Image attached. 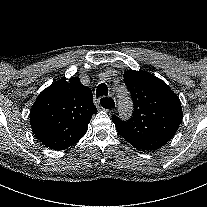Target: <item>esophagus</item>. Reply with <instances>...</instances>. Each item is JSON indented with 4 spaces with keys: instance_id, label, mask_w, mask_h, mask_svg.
I'll list each match as a JSON object with an SVG mask.
<instances>
[{
    "instance_id": "obj_1",
    "label": "esophagus",
    "mask_w": 207,
    "mask_h": 207,
    "mask_svg": "<svg viewBox=\"0 0 207 207\" xmlns=\"http://www.w3.org/2000/svg\"><path fill=\"white\" fill-rule=\"evenodd\" d=\"M101 106L105 111H112L116 108V101L111 97H103L101 99Z\"/></svg>"
}]
</instances>
